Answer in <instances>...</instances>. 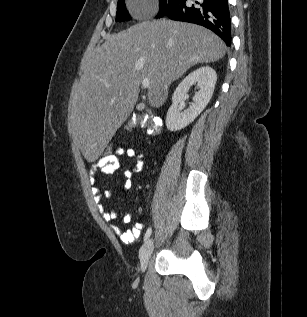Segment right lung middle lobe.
Instances as JSON below:
<instances>
[{
  "instance_id": "right-lung-middle-lobe-1",
  "label": "right lung middle lobe",
  "mask_w": 307,
  "mask_h": 317,
  "mask_svg": "<svg viewBox=\"0 0 307 317\" xmlns=\"http://www.w3.org/2000/svg\"><path fill=\"white\" fill-rule=\"evenodd\" d=\"M174 2L175 0H159L160 10L157 17L160 14H162L164 11H166L170 6H172ZM129 19H130V16L126 9L124 0L118 1L116 21L120 22V21L129 20Z\"/></svg>"
}]
</instances>
